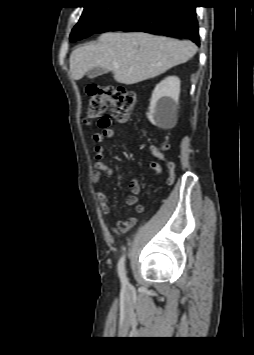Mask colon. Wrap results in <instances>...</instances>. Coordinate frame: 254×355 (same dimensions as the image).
<instances>
[{
	"label": "colon",
	"mask_w": 254,
	"mask_h": 355,
	"mask_svg": "<svg viewBox=\"0 0 254 355\" xmlns=\"http://www.w3.org/2000/svg\"><path fill=\"white\" fill-rule=\"evenodd\" d=\"M86 91L89 96L86 109V121L88 123L98 120V123L102 125L107 104L111 106L112 115L117 122L127 123L130 121L135 103V93L132 90L125 87L89 85ZM174 179L175 173L170 171L167 183L171 184Z\"/></svg>",
	"instance_id": "5ec220e1"
}]
</instances>
